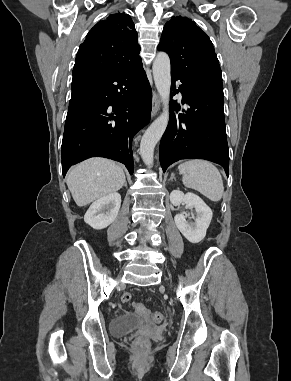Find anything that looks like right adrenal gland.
I'll return each mask as SVG.
<instances>
[{"label":"right adrenal gland","mask_w":291,"mask_h":381,"mask_svg":"<svg viewBox=\"0 0 291 381\" xmlns=\"http://www.w3.org/2000/svg\"><path fill=\"white\" fill-rule=\"evenodd\" d=\"M124 186H127V182L125 181Z\"/></svg>","instance_id":"right-adrenal-gland-1"}]
</instances>
